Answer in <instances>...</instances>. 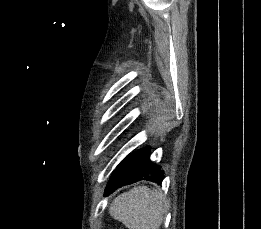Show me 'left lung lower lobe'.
Masks as SVG:
<instances>
[{"label":"left lung lower lobe","instance_id":"1","mask_svg":"<svg viewBox=\"0 0 261 229\" xmlns=\"http://www.w3.org/2000/svg\"><path fill=\"white\" fill-rule=\"evenodd\" d=\"M160 166L153 164L149 159V149L143 148L127 156L112 173L105 195L110 194L116 188L143 180L161 183L164 171Z\"/></svg>","mask_w":261,"mask_h":229}]
</instances>
